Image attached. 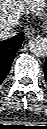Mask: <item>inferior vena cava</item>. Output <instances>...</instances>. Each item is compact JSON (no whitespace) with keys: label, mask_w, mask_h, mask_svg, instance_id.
I'll list each match as a JSON object with an SVG mask.
<instances>
[{"label":"inferior vena cava","mask_w":47,"mask_h":129,"mask_svg":"<svg viewBox=\"0 0 47 129\" xmlns=\"http://www.w3.org/2000/svg\"><path fill=\"white\" fill-rule=\"evenodd\" d=\"M18 24H19V21H15L8 25H1L0 39L5 40V39H8V38L16 35V31L14 30V27H16Z\"/></svg>","instance_id":"obj_1"}]
</instances>
